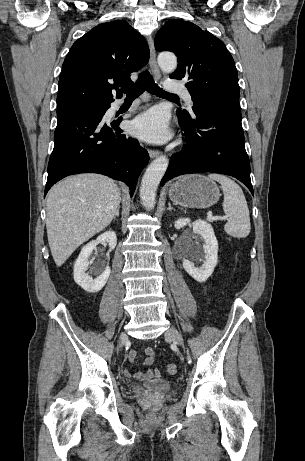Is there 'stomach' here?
<instances>
[{
    "mask_svg": "<svg viewBox=\"0 0 305 461\" xmlns=\"http://www.w3.org/2000/svg\"><path fill=\"white\" fill-rule=\"evenodd\" d=\"M169 198L175 204L187 208H208L220 197L217 184L199 174L186 175L170 185Z\"/></svg>",
    "mask_w": 305,
    "mask_h": 461,
    "instance_id": "obj_1",
    "label": "stomach"
}]
</instances>
